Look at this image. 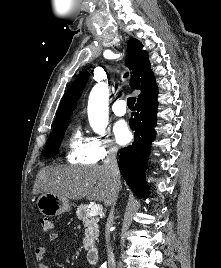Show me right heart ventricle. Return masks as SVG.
<instances>
[{
	"mask_svg": "<svg viewBox=\"0 0 221 268\" xmlns=\"http://www.w3.org/2000/svg\"><path fill=\"white\" fill-rule=\"evenodd\" d=\"M66 160L71 164L92 165L96 163L91 149V139L75 127L67 142Z\"/></svg>",
	"mask_w": 221,
	"mask_h": 268,
	"instance_id": "obj_1",
	"label": "right heart ventricle"
}]
</instances>
